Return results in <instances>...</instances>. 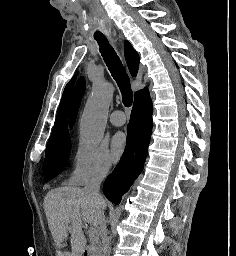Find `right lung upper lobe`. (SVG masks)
<instances>
[{
    "mask_svg": "<svg viewBox=\"0 0 236 256\" xmlns=\"http://www.w3.org/2000/svg\"><path fill=\"white\" fill-rule=\"evenodd\" d=\"M124 46H125L124 47L125 58H126L129 71L132 76H136L138 72L139 55L133 49L132 45L128 41H125ZM75 79H76V76H74L65 87V90L61 99V103H60V108L58 110L56 121L53 127V132L48 142L57 141L69 136L68 128H67V107H68V101H69L70 93L74 85ZM142 91L143 90L137 91L134 94V98Z\"/></svg>",
    "mask_w": 236,
    "mask_h": 256,
    "instance_id": "1",
    "label": "right lung upper lobe"
}]
</instances>
